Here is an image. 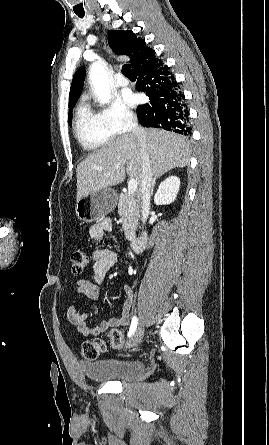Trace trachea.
<instances>
[{"label": "trachea", "mask_w": 269, "mask_h": 445, "mask_svg": "<svg viewBox=\"0 0 269 445\" xmlns=\"http://www.w3.org/2000/svg\"><path fill=\"white\" fill-rule=\"evenodd\" d=\"M79 17L82 18L83 16H82V15H79ZM122 73H123L127 78H130V77H134V76H135V73L132 71V69H131V67H130L129 64H125V65L122 66Z\"/></svg>", "instance_id": "1"}]
</instances>
